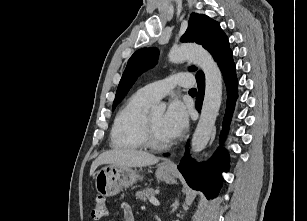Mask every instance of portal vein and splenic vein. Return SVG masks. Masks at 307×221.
<instances>
[{
  "label": "portal vein and splenic vein",
  "instance_id": "18ae733b",
  "mask_svg": "<svg viewBox=\"0 0 307 221\" xmlns=\"http://www.w3.org/2000/svg\"><path fill=\"white\" fill-rule=\"evenodd\" d=\"M149 201H150L153 205H155V206H159V205H160L159 201H158L155 197H151V198L149 199Z\"/></svg>",
  "mask_w": 307,
  "mask_h": 221
}]
</instances>
